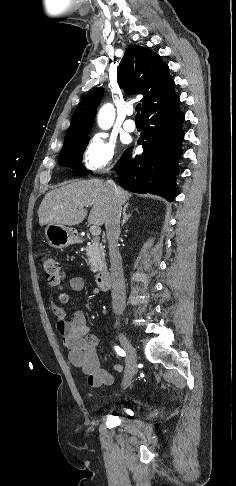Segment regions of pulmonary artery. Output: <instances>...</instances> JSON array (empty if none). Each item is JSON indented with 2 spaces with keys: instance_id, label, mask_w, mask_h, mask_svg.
<instances>
[{
  "instance_id": "1",
  "label": "pulmonary artery",
  "mask_w": 236,
  "mask_h": 486,
  "mask_svg": "<svg viewBox=\"0 0 236 486\" xmlns=\"http://www.w3.org/2000/svg\"><path fill=\"white\" fill-rule=\"evenodd\" d=\"M133 114V109L132 108H129L127 110V115L128 116H131ZM124 129L127 131V132H134L136 130V124H135V121L132 120V119H127L125 122H124Z\"/></svg>"
}]
</instances>
